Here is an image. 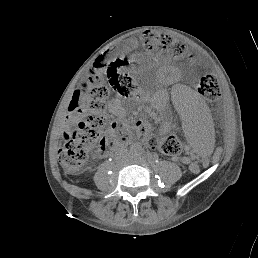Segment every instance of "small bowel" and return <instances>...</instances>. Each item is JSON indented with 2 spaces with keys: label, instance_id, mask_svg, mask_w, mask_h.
Returning <instances> with one entry per match:
<instances>
[{
  "label": "small bowel",
  "instance_id": "small-bowel-1",
  "mask_svg": "<svg viewBox=\"0 0 258 258\" xmlns=\"http://www.w3.org/2000/svg\"><path fill=\"white\" fill-rule=\"evenodd\" d=\"M136 46V41L135 40H130L127 44V49L129 48H133ZM73 105V104H72ZM181 161L185 162V163H188L189 162V159L184 157V158H181L180 159Z\"/></svg>",
  "mask_w": 258,
  "mask_h": 258
}]
</instances>
